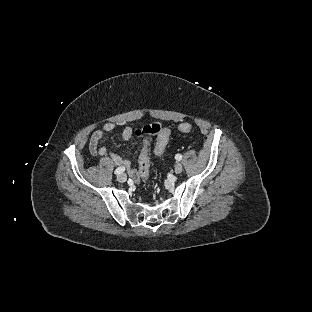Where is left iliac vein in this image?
Masks as SVG:
<instances>
[{
  "label": "left iliac vein",
  "instance_id": "4c4485c4",
  "mask_svg": "<svg viewBox=\"0 0 312 312\" xmlns=\"http://www.w3.org/2000/svg\"><path fill=\"white\" fill-rule=\"evenodd\" d=\"M175 173L176 174H179V173H181L182 172V170H183V166H182V164L181 163H177L176 165H175Z\"/></svg>",
  "mask_w": 312,
  "mask_h": 312
}]
</instances>
